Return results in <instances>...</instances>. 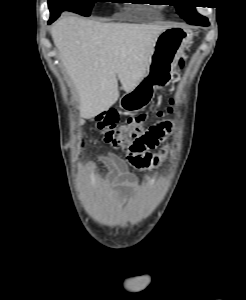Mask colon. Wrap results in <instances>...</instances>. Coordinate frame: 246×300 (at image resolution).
Listing matches in <instances>:
<instances>
[{
  "mask_svg": "<svg viewBox=\"0 0 246 300\" xmlns=\"http://www.w3.org/2000/svg\"><path fill=\"white\" fill-rule=\"evenodd\" d=\"M172 110V102H170L165 109L130 116L122 125H118V112L109 110L99 113L94 121L105 144L115 148H128L131 152L141 154L143 163L155 165L157 157L152 154V151L158 148L170 132L171 124L165 122L148 127L147 122L152 118H161Z\"/></svg>",
  "mask_w": 246,
  "mask_h": 300,
  "instance_id": "colon-1",
  "label": "colon"
}]
</instances>
